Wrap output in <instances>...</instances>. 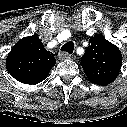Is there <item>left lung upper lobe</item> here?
<instances>
[{"mask_svg": "<svg viewBox=\"0 0 127 127\" xmlns=\"http://www.w3.org/2000/svg\"><path fill=\"white\" fill-rule=\"evenodd\" d=\"M89 43L81 58V66L88 80L97 85L112 83L122 65L120 50L101 34L91 37Z\"/></svg>", "mask_w": 127, "mask_h": 127, "instance_id": "5c2ea615", "label": "left lung upper lobe"}]
</instances>
